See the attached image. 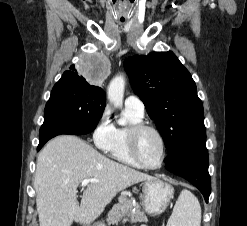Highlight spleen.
<instances>
[{
	"instance_id": "1",
	"label": "spleen",
	"mask_w": 247,
	"mask_h": 226,
	"mask_svg": "<svg viewBox=\"0 0 247 226\" xmlns=\"http://www.w3.org/2000/svg\"><path fill=\"white\" fill-rule=\"evenodd\" d=\"M201 207L198 199L188 190L180 193L167 226H200Z\"/></svg>"
}]
</instances>
